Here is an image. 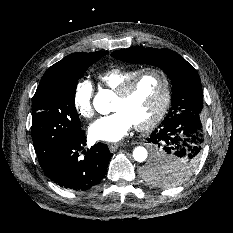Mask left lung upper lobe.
Masks as SVG:
<instances>
[{
  "label": "left lung upper lobe",
  "instance_id": "1",
  "mask_svg": "<svg viewBox=\"0 0 233 233\" xmlns=\"http://www.w3.org/2000/svg\"><path fill=\"white\" fill-rule=\"evenodd\" d=\"M112 57L132 64L159 67L172 83V107L163 120L191 115L200 119L203 108L201 81L194 67L176 52L169 49L130 48L112 52ZM200 157L171 158L163 165L148 164L143 176L150 182L174 186L186 181L198 166Z\"/></svg>",
  "mask_w": 233,
  "mask_h": 233
}]
</instances>
